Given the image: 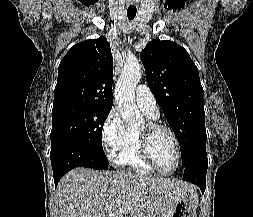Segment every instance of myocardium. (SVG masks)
I'll return each instance as SVG.
<instances>
[{
	"instance_id": "myocardium-1",
	"label": "myocardium",
	"mask_w": 253,
	"mask_h": 217,
	"mask_svg": "<svg viewBox=\"0 0 253 217\" xmlns=\"http://www.w3.org/2000/svg\"><path fill=\"white\" fill-rule=\"evenodd\" d=\"M158 131H166L167 133H169L175 145L176 162H175L174 167L168 171L162 170L156 164L150 152V148H149L150 138L154 133ZM138 143H139V151L142 158L154 171L162 175H171L178 170L181 163V146H180V142L176 133L171 127L165 124L150 121L146 123L144 130H140L138 132Z\"/></svg>"
}]
</instances>
